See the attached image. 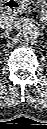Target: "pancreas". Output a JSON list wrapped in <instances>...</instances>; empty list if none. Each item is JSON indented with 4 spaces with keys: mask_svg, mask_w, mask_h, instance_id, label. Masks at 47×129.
<instances>
[{
    "mask_svg": "<svg viewBox=\"0 0 47 129\" xmlns=\"http://www.w3.org/2000/svg\"><path fill=\"white\" fill-rule=\"evenodd\" d=\"M22 3H24L25 5H27L26 0L22 1Z\"/></svg>",
    "mask_w": 47,
    "mask_h": 129,
    "instance_id": "pancreas-1",
    "label": "pancreas"
}]
</instances>
